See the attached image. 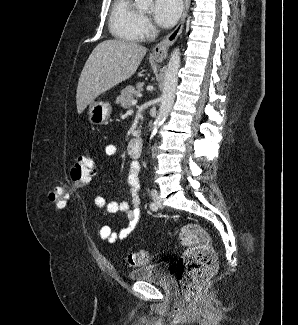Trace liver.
I'll return each mask as SVG.
<instances>
[{
    "label": "liver",
    "instance_id": "6515ba94",
    "mask_svg": "<svg viewBox=\"0 0 298 325\" xmlns=\"http://www.w3.org/2000/svg\"><path fill=\"white\" fill-rule=\"evenodd\" d=\"M148 48L128 40H102L89 54L79 76L76 108L81 114L97 96L135 74Z\"/></svg>",
    "mask_w": 298,
    "mask_h": 325
}]
</instances>
